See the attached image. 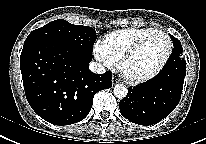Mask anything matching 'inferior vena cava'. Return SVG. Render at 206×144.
Listing matches in <instances>:
<instances>
[{"label": "inferior vena cava", "instance_id": "602c4592", "mask_svg": "<svg viewBox=\"0 0 206 144\" xmlns=\"http://www.w3.org/2000/svg\"><path fill=\"white\" fill-rule=\"evenodd\" d=\"M89 69L91 72L96 73V74H103L105 73V67L102 66L98 62H91L89 65Z\"/></svg>", "mask_w": 206, "mask_h": 144}]
</instances>
